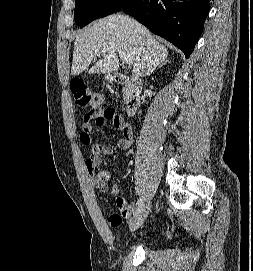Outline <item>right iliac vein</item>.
Segmentation results:
<instances>
[{
  "label": "right iliac vein",
  "mask_w": 253,
  "mask_h": 271,
  "mask_svg": "<svg viewBox=\"0 0 253 271\" xmlns=\"http://www.w3.org/2000/svg\"><path fill=\"white\" fill-rule=\"evenodd\" d=\"M149 210V203H145L144 205H142L141 209L134 215V217L130 221V229L132 231H135L144 223L149 214Z\"/></svg>",
  "instance_id": "63e3f726"
}]
</instances>
